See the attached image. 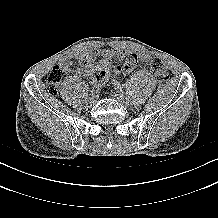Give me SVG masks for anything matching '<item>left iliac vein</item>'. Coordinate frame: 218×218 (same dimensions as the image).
<instances>
[{"instance_id": "left-iliac-vein-1", "label": "left iliac vein", "mask_w": 218, "mask_h": 218, "mask_svg": "<svg viewBox=\"0 0 218 218\" xmlns=\"http://www.w3.org/2000/svg\"><path fill=\"white\" fill-rule=\"evenodd\" d=\"M119 102H121L123 105H128L129 104V98L126 97L123 93L120 91H116L113 95Z\"/></svg>"}]
</instances>
